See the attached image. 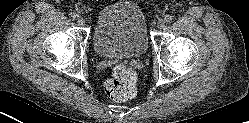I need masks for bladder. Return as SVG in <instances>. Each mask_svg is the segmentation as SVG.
Listing matches in <instances>:
<instances>
[{
  "label": "bladder",
  "mask_w": 249,
  "mask_h": 123,
  "mask_svg": "<svg viewBox=\"0 0 249 123\" xmlns=\"http://www.w3.org/2000/svg\"><path fill=\"white\" fill-rule=\"evenodd\" d=\"M92 43L101 58L139 57L148 49L146 15L135 0H115L96 17Z\"/></svg>",
  "instance_id": "31cf9c89"
}]
</instances>
